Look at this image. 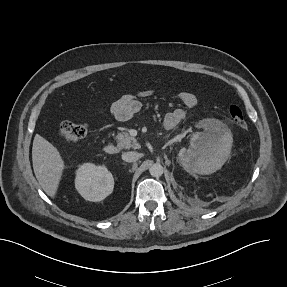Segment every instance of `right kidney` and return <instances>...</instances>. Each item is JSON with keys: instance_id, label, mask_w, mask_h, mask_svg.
Here are the masks:
<instances>
[{"instance_id": "1", "label": "right kidney", "mask_w": 287, "mask_h": 287, "mask_svg": "<svg viewBox=\"0 0 287 287\" xmlns=\"http://www.w3.org/2000/svg\"><path fill=\"white\" fill-rule=\"evenodd\" d=\"M75 187L85 200L98 202L112 193L114 179L105 166L85 163L76 172Z\"/></svg>"}]
</instances>
